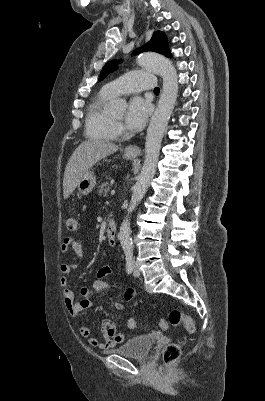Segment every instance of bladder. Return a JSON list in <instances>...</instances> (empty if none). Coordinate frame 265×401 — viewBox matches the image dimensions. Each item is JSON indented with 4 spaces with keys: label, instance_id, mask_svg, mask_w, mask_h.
I'll return each instance as SVG.
<instances>
[{
    "label": "bladder",
    "instance_id": "31cf9c89",
    "mask_svg": "<svg viewBox=\"0 0 265 401\" xmlns=\"http://www.w3.org/2000/svg\"><path fill=\"white\" fill-rule=\"evenodd\" d=\"M154 344L155 339L152 336H138L125 345L109 351L120 353L125 357H146Z\"/></svg>",
    "mask_w": 265,
    "mask_h": 401
}]
</instances>
